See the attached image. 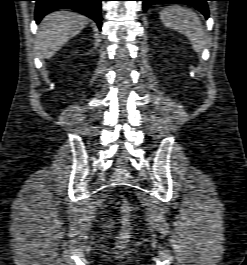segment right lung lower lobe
<instances>
[{
	"label": "right lung lower lobe",
	"mask_w": 247,
	"mask_h": 265,
	"mask_svg": "<svg viewBox=\"0 0 247 265\" xmlns=\"http://www.w3.org/2000/svg\"><path fill=\"white\" fill-rule=\"evenodd\" d=\"M35 20L37 23L53 10L74 9L93 19L101 29V1L103 0H35Z\"/></svg>",
	"instance_id": "obj_1"
}]
</instances>
